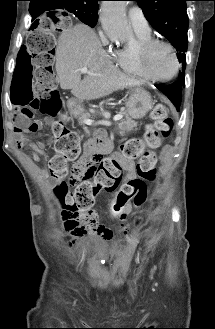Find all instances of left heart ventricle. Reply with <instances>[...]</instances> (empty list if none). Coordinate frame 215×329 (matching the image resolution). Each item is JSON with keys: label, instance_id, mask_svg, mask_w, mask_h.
<instances>
[{"label": "left heart ventricle", "instance_id": "b2bd125f", "mask_svg": "<svg viewBox=\"0 0 215 329\" xmlns=\"http://www.w3.org/2000/svg\"><path fill=\"white\" fill-rule=\"evenodd\" d=\"M175 62L170 50L165 46H157L150 54L149 72L156 77H168L174 71Z\"/></svg>", "mask_w": 215, "mask_h": 329}]
</instances>
